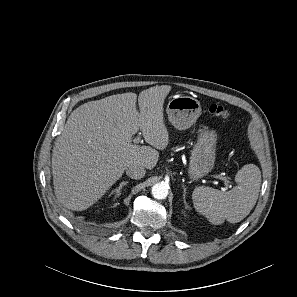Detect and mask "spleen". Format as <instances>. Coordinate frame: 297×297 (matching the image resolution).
<instances>
[{
    "label": "spleen",
    "instance_id": "spleen-1",
    "mask_svg": "<svg viewBox=\"0 0 297 297\" xmlns=\"http://www.w3.org/2000/svg\"><path fill=\"white\" fill-rule=\"evenodd\" d=\"M235 181L238 185L227 192L206 186L197 187L192 194L194 208L214 225L224 220L240 222L256 204L261 171L254 164H246L237 172Z\"/></svg>",
    "mask_w": 297,
    "mask_h": 297
}]
</instances>
